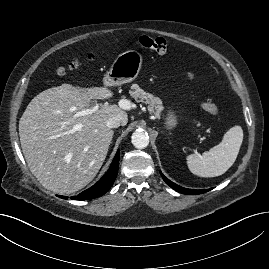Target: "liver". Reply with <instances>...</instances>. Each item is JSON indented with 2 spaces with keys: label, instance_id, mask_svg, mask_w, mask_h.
<instances>
[{
  "label": "liver",
  "instance_id": "liver-1",
  "mask_svg": "<svg viewBox=\"0 0 269 269\" xmlns=\"http://www.w3.org/2000/svg\"><path fill=\"white\" fill-rule=\"evenodd\" d=\"M107 87L83 88L64 83L35 96L19 121V136L28 167L47 189L70 194L90 183L100 170L114 132L107 121L128 122L118 105H108L90 115L76 114L92 99H109Z\"/></svg>",
  "mask_w": 269,
  "mask_h": 269
}]
</instances>
